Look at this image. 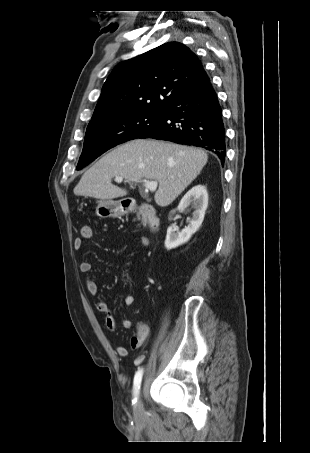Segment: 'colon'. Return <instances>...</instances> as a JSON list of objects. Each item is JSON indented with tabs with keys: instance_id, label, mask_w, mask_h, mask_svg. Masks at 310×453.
Instances as JSON below:
<instances>
[{
	"instance_id": "1",
	"label": "colon",
	"mask_w": 310,
	"mask_h": 453,
	"mask_svg": "<svg viewBox=\"0 0 310 453\" xmlns=\"http://www.w3.org/2000/svg\"><path fill=\"white\" fill-rule=\"evenodd\" d=\"M81 234L84 237L90 236L91 235V227H90V225H88V224L83 225L82 228H81Z\"/></svg>"
}]
</instances>
